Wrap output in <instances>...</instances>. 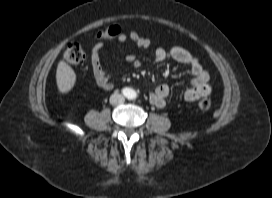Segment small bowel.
Wrapping results in <instances>:
<instances>
[{"label":"small bowel","mask_w":272,"mask_h":198,"mask_svg":"<svg viewBox=\"0 0 272 198\" xmlns=\"http://www.w3.org/2000/svg\"><path fill=\"white\" fill-rule=\"evenodd\" d=\"M118 41L122 43L131 41L140 49H148L150 47V41L134 31L130 32L128 35H120L118 37ZM101 51V43L95 44L90 50L91 72L97 87L108 91L114 87V82L110 72L105 70L101 65ZM168 58L177 63L188 66L193 75L190 81V86L184 92L185 101L195 102L210 94L211 87L209 84V74L195 56L186 49L178 46L172 47L168 50L161 47L155 49L154 59L156 62H162ZM122 59L125 63L135 69L141 66V61L133 54L125 55ZM169 92L170 90L167 85L163 84L158 86L154 93L150 95V103L158 108H165L167 106Z\"/></svg>","instance_id":"1"}]
</instances>
